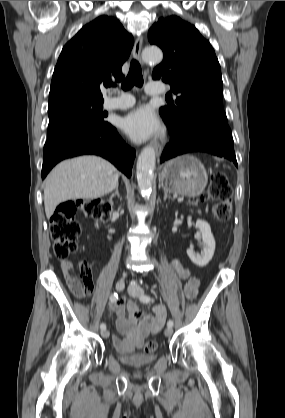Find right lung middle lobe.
Masks as SVG:
<instances>
[{
    "mask_svg": "<svg viewBox=\"0 0 285 418\" xmlns=\"http://www.w3.org/2000/svg\"><path fill=\"white\" fill-rule=\"evenodd\" d=\"M102 108L103 102L83 100L49 105L48 139L74 128L106 126Z\"/></svg>",
    "mask_w": 285,
    "mask_h": 418,
    "instance_id": "1",
    "label": "right lung middle lobe"
}]
</instances>
